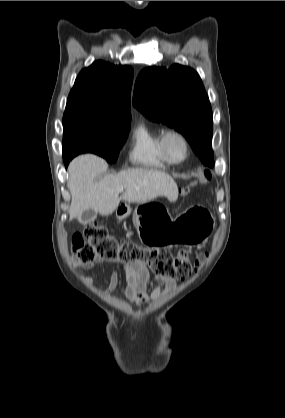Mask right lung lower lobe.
<instances>
[{"label":"right lung lower lobe","instance_id":"obj_1","mask_svg":"<svg viewBox=\"0 0 285 418\" xmlns=\"http://www.w3.org/2000/svg\"><path fill=\"white\" fill-rule=\"evenodd\" d=\"M72 159H73V158H72ZM72 159H66V160H64V163H65L66 167H67V165L69 164V162H70Z\"/></svg>","mask_w":285,"mask_h":418}]
</instances>
